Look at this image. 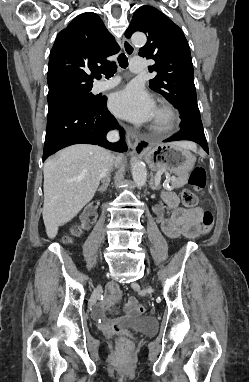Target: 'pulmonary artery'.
<instances>
[{
	"instance_id": "pulmonary-artery-1",
	"label": "pulmonary artery",
	"mask_w": 249,
	"mask_h": 382,
	"mask_svg": "<svg viewBox=\"0 0 249 382\" xmlns=\"http://www.w3.org/2000/svg\"><path fill=\"white\" fill-rule=\"evenodd\" d=\"M146 68L144 58L134 57L130 60V70L133 72H140ZM119 82V78H112L110 80H103L97 83L96 88L98 91H103L116 86Z\"/></svg>"
}]
</instances>
